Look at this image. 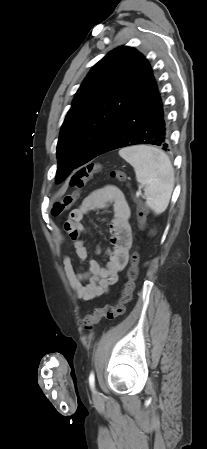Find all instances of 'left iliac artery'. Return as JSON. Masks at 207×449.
Segmentation results:
<instances>
[{
	"mask_svg": "<svg viewBox=\"0 0 207 449\" xmlns=\"http://www.w3.org/2000/svg\"><path fill=\"white\" fill-rule=\"evenodd\" d=\"M89 385H90L91 389L93 390L95 387V376H94L93 372H91L89 375Z\"/></svg>",
	"mask_w": 207,
	"mask_h": 449,
	"instance_id": "44dca946",
	"label": "left iliac artery"
}]
</instances>
